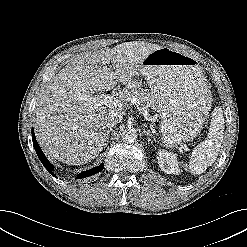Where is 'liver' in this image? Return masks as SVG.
<instances>
[{
	"mask_svg": "<svg viewBox=\"0 0 247 247\" xmlns=\"http://www.w3.org/2000/svg\"><path fill=\"white\" fill-rule=\"evenodd\" d=\"M157 44L126 42L77 55L46 85L35 109L36 137L51 156L69 165L90 162L106 140L105 117L115 108L96 106L95 92L128 85ZM112 63L114 71L108 67ZM125 100V94L120 101Z\"/></svg>",
	"mask_w": 247,
	"mask_h": 247,
	"instance_id": "6515ba94",
	"label": "liver"
}]
</instances>
